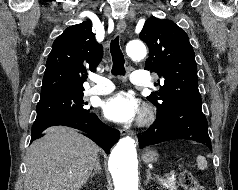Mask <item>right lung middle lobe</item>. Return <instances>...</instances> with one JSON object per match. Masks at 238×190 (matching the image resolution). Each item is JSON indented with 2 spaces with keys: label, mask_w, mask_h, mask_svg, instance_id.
I'll list each match as a JSON object with an SVG mask.
<instances>
[{
  "label": "right lung middle lobe",
  "mask_w": 238,
  "mask_h": 190,
  "mask_svg": "<svg viewBox=\"0 0 238 190\" xmlns=\"http://www.w3.org/2000/svg\"><path fill=\"white\" fill-rule=\"evenodd\" d=\"M83 92L40 98L37 104L36 120L60 115H73L90 112L85 109Z\"/></svg>",
  "instance_id": "dd1d6c3e"
}]
</instances>
